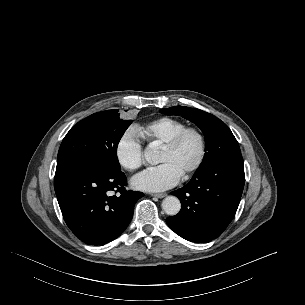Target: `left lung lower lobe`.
<instances>
[{
  "label": "left lung lower lobe",
  "instance_id": "0a47b994",
  "mask_svg": "<svg viewBox=\"0 0 305 305\" xmlns=\"http://www.w3.org/2000/svg\"><path fill=\"white\" fill-rule=\"evenodd\" d=\"M245 183L242 155H233L195 172L183 188L173 191L181 201L180 212L166 219L184 239L210 242L229 225L238 208Z\"/></svg>",
  "mask_w": 305,
  "mask_h": 305
}]
</instances>
